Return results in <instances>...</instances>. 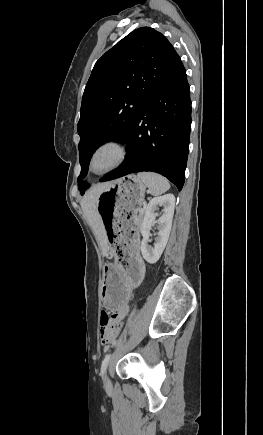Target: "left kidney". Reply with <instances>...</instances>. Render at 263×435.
I'll return each mask as SVG.
<instances>
[{"mask_svg": "<svg viewBox=\"0 0 263 435\" xmlns=\"http://www.w3.org/2000/svg\"><path fill=\"white\" fill-rule=\"evenodd\" d=\"M159 207H163V213L156 221L157 214L155 211L158 210ZM174 207L175 197L173 194L154 197L149 201L146 207L144 219L141 225L143 239L140 248L143 258L150 264H154L159 260L168 242L174 215ZM155 223L158 224V233L155 238L154 246L151 247L148 245V240L151 227Z\"/></svg>", "mask_w": 263, "mask_h": 435, "instance_id": "obj_1", "label": "left kidney"}]
</instances>
